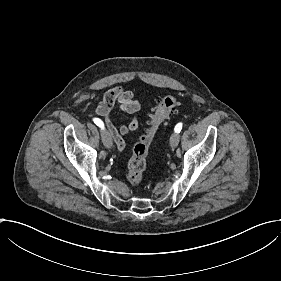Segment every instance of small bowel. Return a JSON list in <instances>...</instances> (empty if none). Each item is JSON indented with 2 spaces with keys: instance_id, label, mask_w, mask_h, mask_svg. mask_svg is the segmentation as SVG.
<instances>
[{
  "instance_id": "c3829d8e",
  "label": "small bowel",
  "mask_w": 281,
  "mask_h": 281,
  "mask_svg": "<svg viewBox=\"0 0 281 281\" xmlns=\"http://www.w3.org/2000/svg\"><path fill=\"white\" fill-rule=\"evenodd\" d=\"M115 105L131 115L128 124L121 125L119 129L115 128L110 120V112ZM139 108V103L134 98L133 93L123 86H116L109 89L106 92L104 99L96 107V113L105 121V125L108 128L111 138L119 148H124L125 145L122 136L127 135L139 127V119L133 116L139 111Z\"/></svg>"
}]
</instances>
